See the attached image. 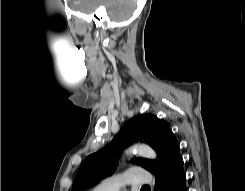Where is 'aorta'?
Segmentation results:
<instances>
[{"label":"aorta","mask_w":245,"mask_h":191,"mask_svg":"<svg viewBox=\"0 0 245 191\" xmlns=\"http://www.w3.org/2000/svg\"><path fill=\"white\" fill-rule=\"evenodd\" d=\"M128 154H137L145 158H156V153L154 150L146 144H136L127 150Z\"/></svg>","instance_id":"obj_1"}]
</instances>
